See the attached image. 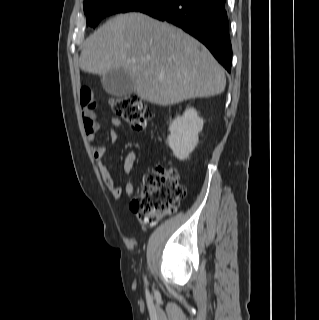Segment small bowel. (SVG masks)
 I'll list each match as a JSON object with an SVG mask.
<instances>
[{"mask_svg":"<svg viewBox=\"0 0 319 320\" xmlns=\"http://www.w3.org/2000/svg\"><path fill=\"white\" fill-rule=\"evenodd\" d=\"M80 101L83 107V125L87 138L89 141L94 142L96 140V134L99 130V123L96 120V113L94 110L95 103L93 101V92L90 88L84 87L80 91ZM112 125L114 129L110 132V137L113 141L119 138L118 129L123 127V123L119 118L112 119ZM106 154V148L101 145L94 146L92 148V155L96 161L100 176L108 187L112 195L116 199H120L123 196V189L116 183L110 170L104 164L103 160ZM137 161V154L133 151L128 152L125 155L123 161V170L126 174H130L135 163ZM126 194L132 196L136 193V187L133 182H128L125 186Z\"/></svg>","mask_w":319,"mask_h":320,"instance_id":"obj_1","label":"small bowel"}]
</instances>
